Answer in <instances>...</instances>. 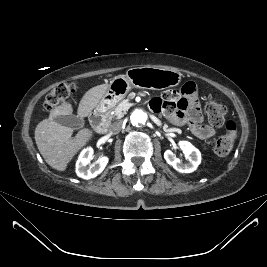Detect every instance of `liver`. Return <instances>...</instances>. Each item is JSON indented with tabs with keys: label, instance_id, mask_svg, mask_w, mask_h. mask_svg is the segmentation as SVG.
I'll return each mask as SVG.
<instances>
[{
	"label": "liver",
	"instance_id": "1",
	"mask_svg": "<svg viewBox=\"0 0 267 267\" xmlns=\"http://www.w3.org/2000/svg\"><path fill=\"white\" fill-rule=\"evenodd\" d=\"M108 84H101L89 89L82 97L78 106V115L86 117L96 107ZM72 105L64 102L50 111L48 119L41 121L35 129V141L39 152L48 165L58 171H65L74 155L83 148L93 136L86 128L80 130L75 137L73 129L55 121L58 116L70 115Z\"/></svg>",
	"mask_w": 267,
	"mask_h": 267
}]
</instances>
